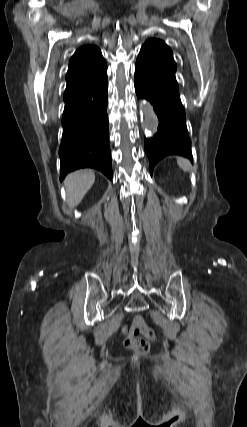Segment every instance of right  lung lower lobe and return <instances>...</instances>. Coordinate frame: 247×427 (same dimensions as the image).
Wrapping results in <instances>:
<instances>
[{
    "label": "right lung lower lobe",
    "instance_id": "98d812e1",
    "mask_svg": "<svg viewBox=\"0 0 247 427\" xmlns=\"http://www.w3.org/2000/svg\"><path fill=\"white\" fill-rule=\"evenodd\" d=\"M107 67L64 93L60 180L74 170L95 168L112 179L107 116Z\"/></svg>",
    "mask_w": 247,
    "mask_h": 427
}]
</instances>
